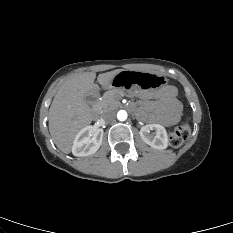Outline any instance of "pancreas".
<instances>
[{
    "mask_svg": "<svg viewBox=\"0 0 233 233\" xmlns=\"http://www.w3.org/2000/svg\"><path fill=\"white\" fill-rule=\"evenodd\" d=\"M122 96L123 92L120 90L107 91L99 101V106L103 111L114 110L120 105L119 101Z\"/></svg>",
    "mask_w": 233,
    "mask_h": 233,
    "instance_id": "pancreas-1",
    "label": "pancreas"
}]
</instances>
